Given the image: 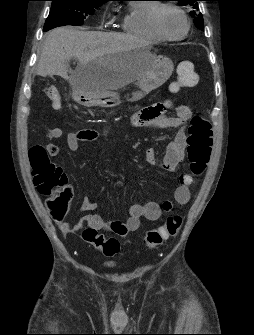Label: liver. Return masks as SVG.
<instances>
[{
    "instance_id": "liver-1",
    "label": "liver",
    "mask_w": 254,
    "mask_h": 335,
    "mask_svg": "<svg viewBox=\"0 0 254 335\" xmlns=\"http://www.w3.org/2000/svg\"><path fill=\"white\" fill-rule=\"evenodd\" d=\"M142 45L139 39L127 34L58 27L46 36L37 74L61 76L73 89L91 84L103 91L116 90L142 77L151 67V59L140 57L109 62L98 70L87 68V65L102 58L112 59ZM72 58L78 60V65L68 75V62Z\"/></svg>"
}]
</instances>
